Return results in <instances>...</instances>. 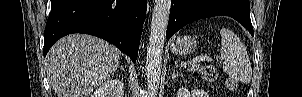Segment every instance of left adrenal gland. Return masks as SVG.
Masks as SVG:
<instances>
[{
	"label": "left adrenal gland",
	"mask_w": 302,
	"mask_h": 97,
	"mask_svg": "<svg viewBox=\"0 0 302 97\" xmlns=\"http://www.w3.org/2000/svg\"><path fill=\"white\" fill-rule=\"evenodd\" d=\"M180 74L178 72H175V69L172 68V79L178 78Z\"/></svg>",
	"instance_id": "obj_1"
}]
</instances>
